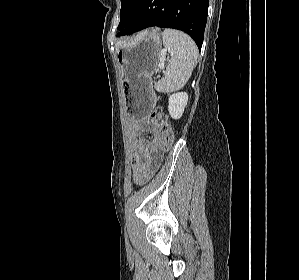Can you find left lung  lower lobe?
I'll return each instance as SVG.
<instances>
[{"instance_id":"obj_1","label":"left lung lower lobe","mask_w":299,"mask_h":280,"mask_svg":"<svg viewBox=\"0 0 299 280\" xmlns=\"http://www.w3.org/2000/svg\"><path fill=\"white\" fill-rule=\"evenodd\" d=\"M208 0H137L131 22L119 36L157 26L189 34L201 49L207 20Z\"/></svg>"}]
</instances>
